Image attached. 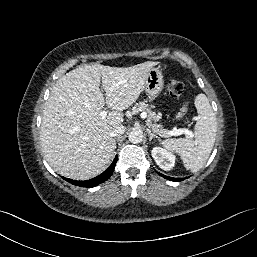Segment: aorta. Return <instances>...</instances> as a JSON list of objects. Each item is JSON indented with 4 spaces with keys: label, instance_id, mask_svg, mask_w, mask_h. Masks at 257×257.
Returning a JSON list of instances; mask_svg holds the SVG:
<instances>
[{
    "label": "aorta",
    "instance_id": "aorta-1",
    "mask_svg": "<svg viewBox=\"0 0 257 257\" xmlns=\"http://www.w3.org/2000/svg\"><path fill=\"white\" fill-rule=\"evenodd\" d=\"M128 139L131 143H135V144L142 142L143 140L142 130L139 128H133L128 135Z\"/></svg>",
    "mask_w": 257,
    "mask_h": 257
}]
</instances>
